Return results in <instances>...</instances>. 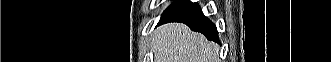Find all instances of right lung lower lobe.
I'll return each mask as SVG.
<instances>
[{
    "instance_id": "98d812e1",
    "label": "right lung lower lobe",
    "mask_w": 331,
    "mask_h": 62,
    "mask_svg": "<svg viewBox=\"0 0 331 62\" xmlns=\"http://www.w3.org/2000/svg\"><path fill=\"white\" fill-rule=\"evenodd\" d=\"M182 22L191 30L201 32L208 40L219 42L215 25L206 18L197 3L179 0L162 15L159 24Z\"/></svg>"
}]
</instances>
